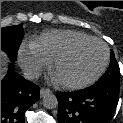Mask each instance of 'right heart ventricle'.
<instances>
[{"instance_id": "e07e8e85", "label": "right heart ventricle", "mask_w": 123, "mask_h": 123, "mask_svg": "<svg viewBox=\"0 0 123 123\" xmlns=\"http://www.w3.org/2000/svg\"><path fill=\"white\" fill-rule=\"evenodd\" d=\"M92 38L91 36L76 30L53 29L43 32L30 42V46L40 52L49 61H52L59 53L73 43Z\"/></svg>"}]
</instances>
